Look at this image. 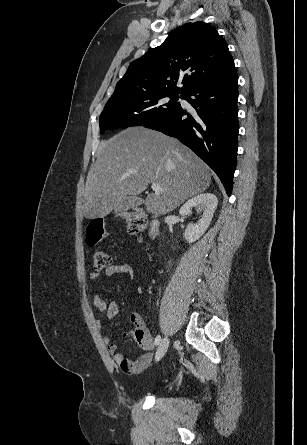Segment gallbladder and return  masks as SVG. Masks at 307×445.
Segmentation results:
<instances>
[{"mask_svg":"<svg viewBox=\"0 0 307 445\" xmlns=\"http://www.w3.org/2000/svg\"><path fill=\"white\" fill-rule=\"evenodd\" d=\"M143 200L137 195L125 196L124 200H122L121 204L118 205V210L125 212L128 211L130 208L137 209L140 205H142Z\"/></svg>","mask_w":307,"mask_h":445,"instance_id":"gallbladder-1","label":"gallbladder"}]
</instances>
